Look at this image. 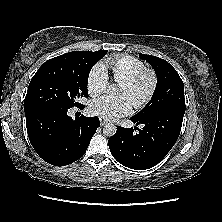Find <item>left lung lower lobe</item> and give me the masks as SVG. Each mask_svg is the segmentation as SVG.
Listing matches in <instances>:
<instances>
[{"mask_svg": "<svg viewBox=\"0 0 222 222\" xmlns=\"http://www.w3.org/2000/svg\"><path fill=\"white\" fill-rule=\"evenodd\" d=\"M184 113L185 110L168 108L142 118L132 117L131 121L144 127H118L108 142L113 157L120 164L135 170L155 166L176 143ZM136 129L139 132L135 134Z\"/></svg>", "mask_w": 222, "mask_h": 222, "instance_id": "left-lung-lower-lobe-1", "label": "left lung lower lobe"}]
</instances>
